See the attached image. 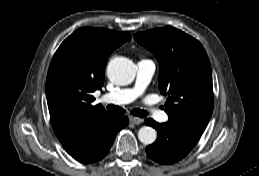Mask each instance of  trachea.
I'll return each instance as SVG.
<instances>
[{"label": "trachea", "instance_id": "trachea-1", "mask_svg": "<svg viewBox=\"0 0 259 176\" xmlns=\"http://www.w3.org/2000/svg\"><path fill=\"white\" fill-rule=\"evenodd\" d=\"M107 110L109 112H113V113H125V110L123 108H120V107L112 105V104L107 106ZM131 114L138 116V117H145L148 115V113L145 110H140V109L132 110Z\"/></svg>", "mask_w": 259, "mask_h": 176}]
</instances>
